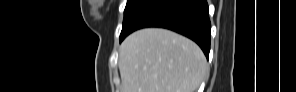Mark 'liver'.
Masks as SVG:
<instances>
[{"label":"liver","mask_w":296,"mask_h":92,"mask_svg":"<svg viewBox=\"0 0 296 92\" xmlns=\"http://www.w3.org/2000/svg\"><path fill=\"white\" fill-rule=\"evenodd\" d=\"M207 69L196 43L166 29L136 31L119 49L122 92H194Z\"/></svg>","instance_id":"obj_1"}]
</instances>
